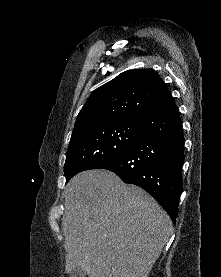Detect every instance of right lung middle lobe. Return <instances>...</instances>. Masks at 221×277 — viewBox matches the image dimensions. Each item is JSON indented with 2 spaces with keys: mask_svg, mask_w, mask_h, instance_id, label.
I'll use <instances>...</instances> for the list:
<instances>
[{
  "mask_svg": "<svg viewBox=\"0 0 221 277\" xmlns=\"http://www.w3.org/2000/svg\"><path fill=\"white\" fill-rule=\"evenodd\" d=\"M137 134V121H132L100 125L72 135L64 166L66 182L81 171L101 168L122 157Z\"/></svg>",
  "mask_w": 221,
  "mask_h": 277,
  "instance_id": "dd1d6c3e",
  "label": "right lung middle lobe"
}]
</instances>
